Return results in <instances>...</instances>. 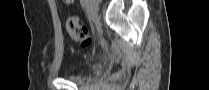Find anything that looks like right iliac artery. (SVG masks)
Instances as JSON below:
<instances>
[{
	"instance_id": "1",
	"label": "right iliac artery",
	"mask_w": 209,
	"mask_h": 90,
	"mask_svg": "<svg viewBox=\"0 0 209 90\" xmlns=\"http://www.w3.org/2000/svg\"><path fill=\"white\" fill-rule=\"evenodd\" d=\"M81 3H82L83 8H86L87 5H88V1L87 0H83Z\"/></svg>"
}]
</instances>
